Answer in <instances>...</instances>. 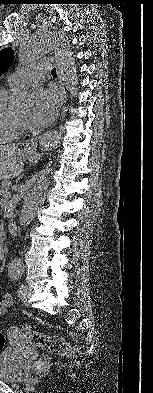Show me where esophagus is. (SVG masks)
<instances>
[{
    "instance_id": "esophagus-1",
    "label": "esophagus",
    "mask_w": 153,
    "mask_h": 393,
    "mask_svg": "<svg viewBox=\"0 0 153 393\" xmlns=\"http://www.w3.org/2000/svg\"><path fill=\"white\" fill-rule=\"evenodd\" d=\"M60 89H61V93H62V105H65L66 100H67V96H66L65 88H64V85L62 84V82H60ZM39 138H36L31 143L27 144L25 151L28 153H32L33 151H35L37 148V140Z\"/></svg>"
}]
</instances>
